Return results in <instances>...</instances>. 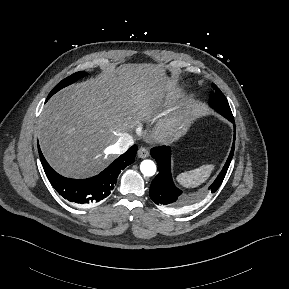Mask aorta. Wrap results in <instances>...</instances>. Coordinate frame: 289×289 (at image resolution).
Wrapping results in <instances>:
<instances>
[{
    "mask_svg": "<svg viewBox=\"0 0 289 289\" xmlns=\"http://www.w3.org/2000/svg\"><path fill=\"white\" fill-rule=\"evenodd\" d=\"M140 170L144 176H153L156 173V165L152 160H144L141 162Z\"/></svg>",
    "mask_w": 289,
    "mask_h": 289,
    "instance_id": "1",
    "label": "aorta"
}]
</instances>
